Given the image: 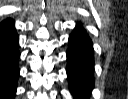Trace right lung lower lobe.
Here are the masks:
<instances>
[{
	"mask_svg": "<svg viewBox=\"0 0 128 99\" xmlns=\"http://www.w3.org/2000/svg\"><path fill=\"white\" fill-rule=\"evenodd\" d=\"M19 38L14 21L6 19L0 24V99H12L16 93L19 67Z\"/></svg>",
	"mask_w": 128,
	"mask_h": 99,
	"instance_id": "obj_1",
	"label": "right lung lower lobe"
}]
</instances>
